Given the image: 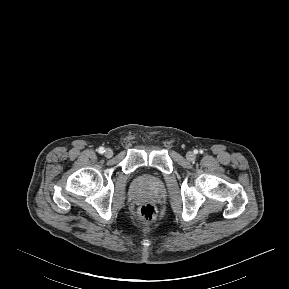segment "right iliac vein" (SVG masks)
Here are the masks:
<instances>
[{"label":"right iliac vein","mask_w":289,"mask_h":289,"mask_svg":"<svg viewBox=\"0 0 289 289\" xmlns=\"http://www.w3.org/2000/svg\"><path fill=\"white\" fill-rule=\"evenodd\" d=\"M104 155L105 157L107 158H111L113 156V151L110 149V148H107L105 151H104Z\"/></svg>","instance_id":"obj_1"}]
</instances>
